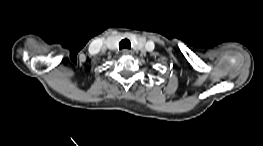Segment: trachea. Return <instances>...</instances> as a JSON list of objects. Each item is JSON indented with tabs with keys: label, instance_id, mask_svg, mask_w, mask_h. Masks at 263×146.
Listing matches in <instances>:
<instances>
[{
	"label": "trachea",
	"instance_id": "obj_1",
	"mask_svg": "<svg viewBox=\"0 0 263 146\" xmlns=\"http://www.w3.org/2000/svg\"><path fill=\"white\" fill-rule=\"evenodd\" d=\"M119 48L120 49H130L131 48V43L128 39H123L119 43Z\"/></svg>",
	"mask_w": 263,
	"mask_h": 146
}]
</instances>
